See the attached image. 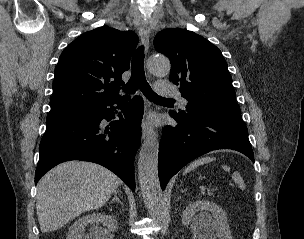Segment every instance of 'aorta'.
Segmentation results:
<instances>
[{
    "label": "aorta",
    "mask_w": 304,
    "mask_h": 239,
    "mask_svg": "<svg viewBox=\"0 0 304 239\" xmlns=\"http://www.w3.org/2000/svg\"><path fill=\"white\" fill-rule=\"evenodd\" d=\"M148 68L153 75L167 76L170 73V61L165 56H152L148 60ZM158 153V134L152 132L140 149L138 178L149 214L156 220H162L164 217V203L158 177Z\"/></svg>",
    "instance_id": "1"
}]
</instances>
